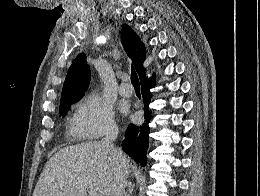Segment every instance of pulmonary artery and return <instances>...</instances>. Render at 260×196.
Returning a JSON list of instances; mask_svg holds the SVG:
<instances>
[{
	"mask_svg": "<svg viewBox=\"0 0 260 196\" xmlns=\"http://www.w3.org/2000/svg\"><path fill=\"white\" fill-rule=\"evenodd\" d=\"M119 92L124 97H130L132 96L134 90L133 87H131V85H122L119 88Z\"/></svg>",
	"mask_w": 260,
	"mask_h": 196,
	"instance_id": "1",
	"label": "pulmonary artery"
}]
</instances>
